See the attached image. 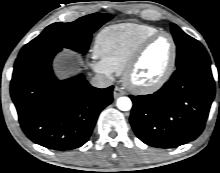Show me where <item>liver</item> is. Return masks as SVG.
<instances>
[{
	"mask_svg": "<svg viewBox=\"0 0 220 173\" xmlns=\"http://www.w3.org/2000/svg\"><path fill=\"white\" fill-rule=\"evenodd\" d=\"M82 59L71 50L64 49L54 59L53 67L60 79H66L80 71Z\"/></svg>",
	"mask_w": 220,
	"mask_h": 173,
	"instance_id": "1",
	"label": "liver"
}]
</instances>
